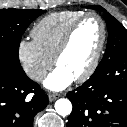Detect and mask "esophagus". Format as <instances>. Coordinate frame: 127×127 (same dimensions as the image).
<instances>
[{
	"label": "esophagus",
	"mask_w": 127,
	"mask_h": 127,
	"mask_svg": "<svg viewBox=\"0 0 127 127\" xmlns=\"http://www.w3.org/2000/svg\"><path fill=\"white\" fill-rule=\"evenodd\" d=\"M58 97H59L58 94H50V95H49V101H50V102H53V101H55Z\"/></svg>",
	"instance_id": "1"
}]
</instances>
